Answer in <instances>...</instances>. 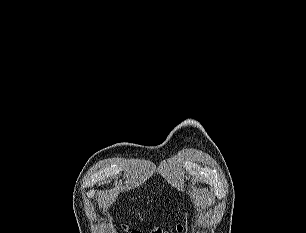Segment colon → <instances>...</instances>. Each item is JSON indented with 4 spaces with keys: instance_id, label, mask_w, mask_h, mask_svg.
Here are the masks:
<instances>
[{
    "instance_id": "1",
    "label": "colon",
    "mask_w": 306,
    "mask_h": 233,
    "mask_svg": "<svg viewBox=\"0 0 306 233\" xmlns=\"http://www.w3.org/2000/svg\"><path fill=\"white\" fill-rule=\"evenodd\" d=\"M177 230L180 231L181 227H177ZM131 233H141V232L139 230L134 229V230L131 231ZM154 233H161V231L156 230V231H154Z\"/></svg>"
}]
</instances>
